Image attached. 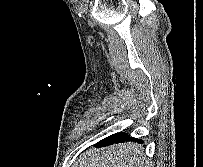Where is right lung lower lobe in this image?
<instances>
[{"label": "right lung lower lobe", "mask_w": 203, "mask_h": 167, "mask_svg": "<svg viewBox=\"0 0 203 167\" xmlns=\"http://www.w3.org/2000/svg\"><path fill=\"white\" fill-rule=\"evenodd\" d=\"M128 140H136L138 142H143L142 140H138L136 138H132V137L128 136L126 133H117V134L111 135V136L99 141L96 144V147H104V146H108V145H111L114 143L128 141Z\"/></svg>", "instance_id": "98d812e1"}]
</instances>
